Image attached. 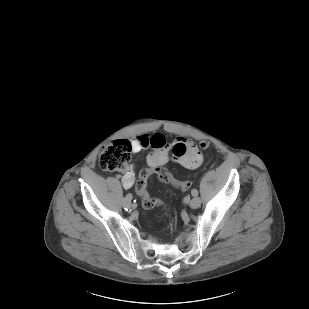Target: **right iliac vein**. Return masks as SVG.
I'll return each instance as SVG.
<instances>
[{
    "mask_svg": "<svg viewBox=\"0 0 309 309\" xmlns=\"http://www.w3.org/2000/svg\"><path fill=\"white\" fill-rule=\"evenodd\" d=\"M123 204L126 207H133L134 206L133 203H132V199H127V198L124 199Z\"/></svg>",
    "mask_w": 309,
    "mask_h": 309,
    "instance_id": "63e3f726",
    "label": "right iliac vein"
}]
</instances>
